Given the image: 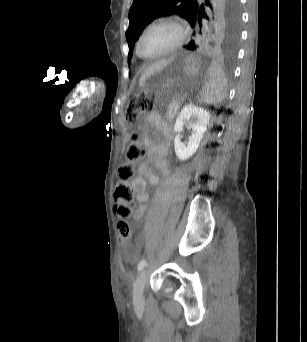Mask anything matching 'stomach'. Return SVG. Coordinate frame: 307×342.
<instances>
[{"mask_svg": "<svg viewBox=\"0 0 307 342\" xmlns=\"http://www.w3.org/2000/svg\"><path fill=\"white\" fill-rule=\"evenodd\" d=\"M189 59H174L171 60L167 66L162 70L150 76L143 85V90L147 94L163 95L169 92L170 87L174 84L175 73L181 68L189 72ZM170 98L176 100L180 97L179 91L169 93Z\"/></svg>", "mask_w": 307, "mask_h": 342, "instance_id": "obj_1", "label": "stomach"}]
</instances>
